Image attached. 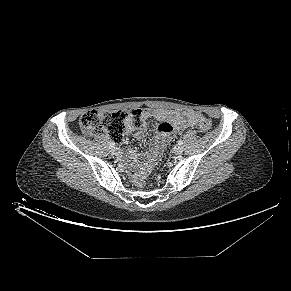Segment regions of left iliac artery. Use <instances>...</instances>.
Masks as SVG:
<instances>
[{
  "instance_id": "44dca946",
  "label": "left iliac artery",
  "mask_w": 291,
  "mask_h": 291,
  "mask_svg": "<svg viewBox=\"0 0 291 291\" xmlns=\"http://www.w3.org/2000/svg\"><path fill=\"white\" fill-rule=\"evenodd\" d=\"M183 144V141L182 140H179L178 141V145H182Z\"/></svg>"
}]
</instances>
